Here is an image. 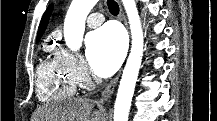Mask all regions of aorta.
Listing matches in <instances>:
<instances>
[{"mask_svg":"<svg viewBox=\"0 0 217 121\" xmlns=\"http://www.w3.org/2000/svg\"><path fill=\"white\" fill-rule=\"evenodd\" d=\"M98 0H73L64 21L66 45L76 51L83 41L85 21ZM131 30L132 46L114 106V121H128L129 110L143 57L144 37L135 0H122Z\"/></svg>","mask_w":217,"mask_h":121,"instance_id":"1","label":"aorta"}]
</instances>
